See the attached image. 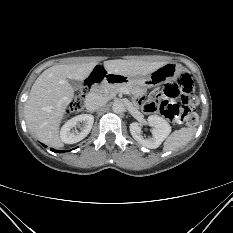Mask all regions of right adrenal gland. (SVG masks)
<instances>
[{
	"label": "right adrenal gland",
	"mask_w": 233,
	"mask_h": 233,
	"mask_svg": "<svg viewBox=\"0 0 233 233\" xmlns=\"http://www.w3.org/2000/svg\"><path fill=\"white\" fill-rule=\"evenodd\" d=\"M86 111H87V112H91V113L93 112V111H89V110H86Z\"/></svg>",
	"instance_id": "2a0ac1e0"
}]
</instances>
